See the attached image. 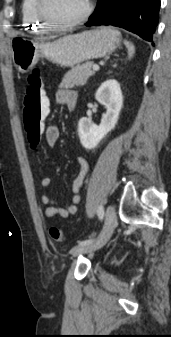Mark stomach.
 <instances>
[{
  "mask_svg": "<svg viewBox=\"0 0 171 337\" xmlns=\"http://www.w3.org/2000/svg\"><path fill=\"white\" fill-rule=\"evenodd\" d=\"M120 44V33L111 27L68 35L53 42L16 37L12 40V57L17 70L26 73L41 57L70 67L90 59L105 57Z\"/></svg>",
  "mask_w": 171,
  "mask_h": 337,
  "instance_id": "1",
  "label": "stomach"
}]
</instances>
